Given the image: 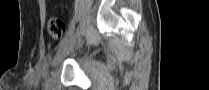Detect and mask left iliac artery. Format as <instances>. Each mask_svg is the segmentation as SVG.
I'll return each instance as SVG.
<instances>
[{"label":"left iliac artery","instance_id":"left-iliac-artery-1","mask_svg":"<svg viewBox=\"0 0 209 90\" xmlns=\"http://www.w3.org/2000/svg\"><path fill=\"white\" fill-rule=\"evenodd\" d=\"M75 22L76 19H73L72 27L67 29V35L62 39V41L59 43L57 48H59L62 44L68 42L72 38V33L74 32L75 29Z\"/></svg>","mask_w":209,"mask_h":90}]
</instances>
